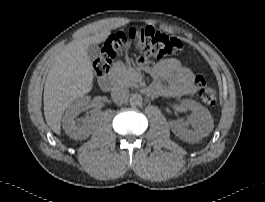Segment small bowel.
I'll list each match as a JSON object with an SVG mask.
<instances>
[{
	"label": "small bowel",
	"mask_w": 265,
	"mask_h": 202,
	"mask_svg": "<svg viewBox=\"0 0 265 202\" xmlns=\"http://www.w3.org/2000/svg\"><path fill=\"white\" fill-rule=\"evenodd\" d=\"M142 67L154 80L150 85L151 96H184L196 90L193 71L177 59H166Z\"/></svg>",
	"instance_id": "obj_1"
}]
</instances>
